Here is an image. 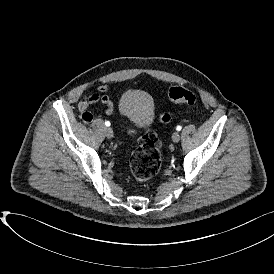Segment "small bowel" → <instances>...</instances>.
<instances>
[{"label":"small bowel","instance_id":"c3829d8e","mask_svg":"<svg viewBox=\"0 0 274 274\" xmlns=\"http://www.w3.org/2000/svg\"><path fill=\"white\" fill-rule=\"evenodd\" d=\"M110 89L111 86L108 84L100 85L93 90L87 98L79 101L77 104L78 116L83 123L89 124L93 121V114L89 108L94 103L101 102L105 106L106 113H112L113 103L110 98L105 95Z\"/></svg>","mask_w":274,"mask_h":274}]
</instances>
